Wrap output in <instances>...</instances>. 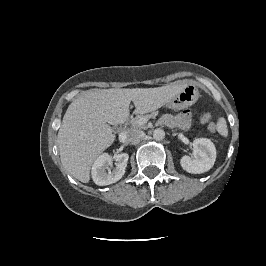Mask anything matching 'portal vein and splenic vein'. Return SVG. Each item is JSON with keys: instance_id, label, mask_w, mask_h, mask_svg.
<instances>
[{"instance_id": "portal-vein-and-splenic-vein-1", "label": "portal vein and splenic vein", "mask_w": 266, "mask_h": 266, "mask_svg": "<svg viewBox=\"0 0 266 266\" xmlns=\"http://www.w3.org/2000/svg\"><path fill=\"white\" fill-rule=\"evenodd\" d=\"M141 122H147V118L140 119Z\"/></svg>"}]
</instances>
